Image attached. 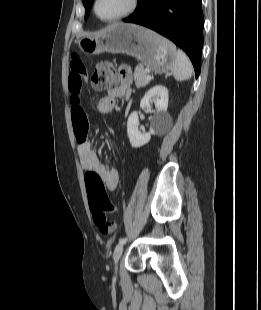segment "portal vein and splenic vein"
Instances as JSON below:
<instances>
[{
    "mask_svg": "<svg viewBox=\"0 0 261 310\" xmlns=\"http://www.w3.org/2000/svg\"><path fill=\"white\" fill-rule=\"evenodd\" d=\"M146 79L150 80V79H152V76L151 75H147Z\"/></svg>",
    "mask_w": 261,
    "mask_h": 310,
    "instance_id": "1",
    "label": "portal vein and splenic vein"
}]
</instances>
